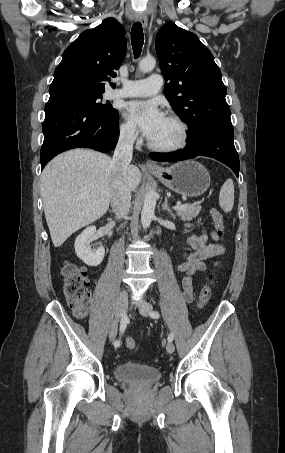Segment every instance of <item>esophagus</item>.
<instances>
[{"instance_id":"1","label":"esophagus","mask_w":285,"mask_h":453,"mask_svg":"<svg viewBox=\"0 0 285 453\" xmlns=\"http://www.w3.org/2000/svg\"><path fill=\"white\" fill-rule=\"evenodd\" d=\"M136 19L142 24L143 28L147 27L148 20H147V15L145 13L137 14L136 15ZM145 166L148 169H157L158 168V166L154 162H152L150 160H147L145 162Z\"/></svg>"}]
</instances>
